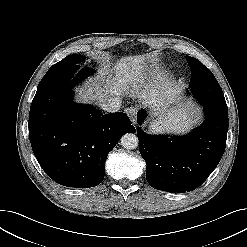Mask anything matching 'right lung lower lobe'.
Listing matches in <instances>:
<instances>
[{
  "label": "right lung lower lobe",
  "instance_id": "1",
  "mask_svg": "<svg viewBox=\"0 0 247 247\" xmlns=\"http://www.w3.org/2000/svg\"><path fill=\"white\" fill-rule=\"evenodd\" d=\"M47 72L29 113V138L45 173L58 184L89 188L104 178L105 161L122 135L135 128L125 113L103 115L93 106L75 104L72 88L92 68Z\"/></svg>",
  "mask_w": 247,
  "mask_h": 247
}]
</instances>
